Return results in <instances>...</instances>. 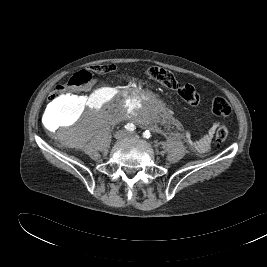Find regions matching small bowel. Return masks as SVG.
Listing matches in <instances>:
<instances>
[{"label": "small bowel", "mask_w": 267, "mask_h": 267, "mask_svg": "<svg viewBox=\"0 0 267 267\" xmlns=\"http://www.w3.org/2000/svg\"><path fill=\"white\" fill-rule=\"evenodd\" d=\"M78 104V103H75ZM216 129V124L212 125L207 133L199 140L191 141L193 148L199 153H205L209 150L211 141Z\"/></svg>", "instance_id": "1"}]
</instances>
